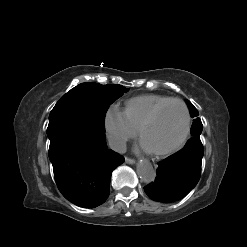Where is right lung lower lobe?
<instances>
[{
  "label": "right lung lower lobe",
  "instance_id": "right-lung-lower-lobe-1",
  "mask_svg": "<svg viewBox=\"0 0 247 247\" xmlns=\"http://www.w3.org/2000/svg\"><path fill=\"white\" fill-rule=\"evenodd\" d=\"M49 159L57 186L73 204L94 208L109 196L112 171L124 158L107 149L105 130L78 117L49 120Z\"/></svg>",
  "mask_w": 247,
  "mask_h": 247
}]
</instances>
